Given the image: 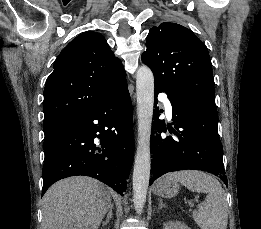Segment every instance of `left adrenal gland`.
Instances as JSON below:
<instances>
[{
  "mask_svg": "<svg viewBox=\"0 0 261 229\" xmlns=\"http://www.w3.org/2000/svg\"><path fill=\"white\" fill-rule=\"evenodd\" d=\"M163 207H166V205H163L162 199H159V209H163Z\"/></svg>",
  "mask_w": 261,
  "mask_h": 229,
  "instance_id": "a2214340",
  "label": "left adrenal gland"
}]
</instances>
